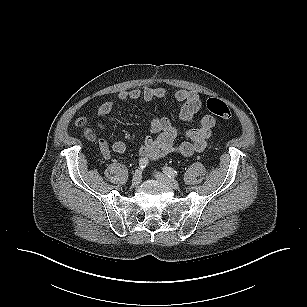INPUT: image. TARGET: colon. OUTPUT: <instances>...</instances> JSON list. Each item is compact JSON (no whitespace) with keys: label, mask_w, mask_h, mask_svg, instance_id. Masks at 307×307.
<instances>
[{"label":"colon","mask_w":307,"mask_h":307,"mask_svg":"<svg viewBox=\"0 0 307 307\" xmlns=\"http://www.w3.org/2000/svg\"><path fill=\"white\" fill-rule=\"evenodd\" d=\"M206 109L225 120H229L232 116L231 111L229 107L224 103L222 100L217 98H210L206 101ZM77 126L81 129H83L82 133L85 137L92 139L93 135L92 133L85 128V121L83 119L78 120Z\"/></svg>","instance_id":"5ec220e1"}]
</instances>
